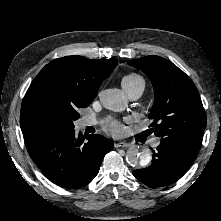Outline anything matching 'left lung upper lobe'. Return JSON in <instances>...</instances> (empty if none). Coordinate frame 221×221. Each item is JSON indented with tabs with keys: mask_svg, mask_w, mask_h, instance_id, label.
I'll return each mask as SVG.
<instances>
[{
	"mask_svg": "<svg viewBox=\"0 0 221 221\" xmlns=\"http://www.w3.org/2000/svg\"><path fill=\"white\" fill-rule=\"evenodd\" d=\"M128 64L142 70L153 84L155 102L148 117L153 120L150 130L160 137V144L196 159L206 114L192 80L162 57L147 56Z\"/></svg>",
	"mask_w": 221,
	"mask_h": 221,
	"instance_id": "5c2ea615",
	"label": "left lung upper lobe"
}]
</instances>
